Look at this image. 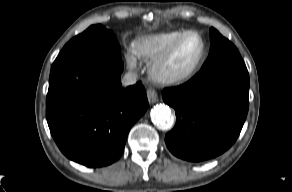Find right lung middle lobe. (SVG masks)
Segmentation results:
<instances>
[{
	"label": "right lung middle lobe",
	"mask_w": 292,
	"mask_h": 192,
	"mask_svg": "<svg viewBox=\"0 0 292 192\" xmlns=\"http://www.w3.org/2000/svg\"><path fill=\"white\" fill-rule=\"evenodd\" d=\"M90 49H109L116 53L120 52L115 35L111 30H107L102 25L90 26L86 31L71 39L61 52Z\"/></svg>",
	"instance_id": "obj_1"
}]
</instances>
